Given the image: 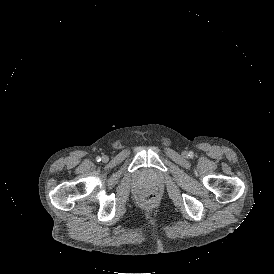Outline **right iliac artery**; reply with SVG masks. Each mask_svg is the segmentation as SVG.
<instances>
[{
    "label": "right iliac artery",
    "mask_w": 274,
    "mask_h": 274,
    "mask_svg": "<svg viewBox=\"0 0 274 274\" xmlns=\"http://www.w3.org/2000/svg\"><path fill=\"white\" fill-rule=\"evenodd\" d=\"M96 160H97V162H100L101 161V157L100 156L96 157Z\"/></svg>",
    "instance_id": "obj_1"
}]
</instances>
